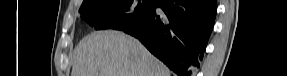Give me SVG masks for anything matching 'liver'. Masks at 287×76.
Segmentation results:
<instances>
[{
    "label": "liver",
    "instance_id": "liver-1",
    "mask_svg": "<svg viewBox=\"0 0 287 76\" xmlns=\"http://www.w3.org/2000/svg\"><path fill=\"white\" fill-rule=\"evenodd\" d=\"M71 76H170L169 69L137 39L98 31L75 47Z\"/></svg>",
    "mask_w": 287,
    "mask_h": 76
}]
</instances>
